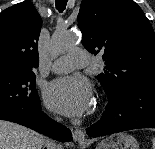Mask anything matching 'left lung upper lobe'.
<instances>
[{"label":"left lung upper lobe","mask_w":155,"mask_h":149,"mask_svg":"<svg viewBox=\"0 0 155 149\" xmlns=\"http://www.w3.org/2000/svg\"><path fill=\"white\" fill-rule=\"evenodd\" d=\"M77 20L84 47L103 54L97 78L107 95L155 79L154 30L134 1L83 0Z\"/></svg>","instance_id":"left-lung-upper-lobe-1"}]
</instances>
